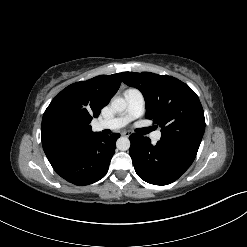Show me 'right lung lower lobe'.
<instances>
[{
  "label": "right lung lower lobe",
  "mask_w": 247,
  "mask_h": 247,
  "mask_svg": "<svg viewBox=\"0 0 247 247\" xmlns=\"http://www.w3.org/2000/svg\"><path fill=\"white\" fill-rule=\"evenodd\" d=\"M119 134L95 135L84 145L48 157L58 175L75 185L92 184L103 178L115 153Z\"/></svg>",
  "instance_id": "obj_1"
}]
</instances>
